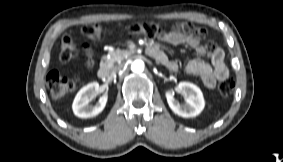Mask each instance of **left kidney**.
Returning a JSON list of instances; mask_svg holds the SVG:
<instances>
[{
	"label": "left kidney",
	"instance_id": "obj_1",
	"mask_svg": "<svg viewBox=\"0 0 283 162\" xmlns=\"http://www.w3.org/2000/svg\"><path fill=\"white\" fill-rule=\"evenodd\" d=\"M178 90L187 97L184 104H180L171 91H166L165 96L171 110L184 118L195 117L199 115L205 106L203 94L198 86L190 82H180Z\"/></svg>",
	"mask_w": 283,
	"mask_h": 162
}]
</instances>
